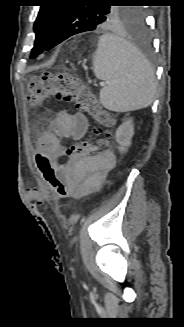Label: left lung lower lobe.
Masks as SVG:
<instances>
[{"label":"left lung lower lobe","mask_w":184,"mask_h":327,"mask_svg":"<svg viewBox=\"0 0 184 327\" xmlns=\"http://www.w3.org/2000/svg\"><path fill=\"white\" fill-rule=\"evenodd\" d=\"M131 32L137 48L145 54H150L152 52L153 45L149 34V30L145 22L142 20V22L132 27ZM78 33H79L78 31L74 32L72 30H66V28H64L63 24L61 23L45 50H50L51 48L55 47L62 41Z\"/></svg>","instance_id":"left-lung-lower-lobe-1"}]
</instances>
